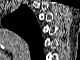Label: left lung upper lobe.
Segmentation results:
<instances>
[{"label":"left lung upper lobe","mask_w":80,"mask_h":60,"mask_svg":"<svg viewBox=\"0 0 80 60\" xmlns=\"http://www.w3.org/2000/svg\"><path fill=\"white\" fill-rule=\"evenodd\" d=\"M2 25L23 37L28 42L30 51L40 50L39 28L33 13L26 6H20L13 14L5 17Z\"/></svg>","instance_id":"left-lung-upper-lobe-1"}]
</instances>
